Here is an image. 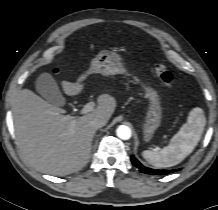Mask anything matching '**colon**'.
I'll return each instance as SVG.
<instances>
[{
	"instance_id": "1",
	"label": "colon",
	"mask_w": 218,
	"mask_h": 210,
	"mask_svg": "<svg viewBox=\"0 0 218 210\" xmlns=\"http://www.w3.org/2000/svg\"><path fill=\"white\" fill-rule=\"evenodd\" d=\"M153 72L159 79L162 87L165 89H170L172 87L174 77L173 74L165 68V66L162 64H155L153 66Z\"/></svg>"
}]
</instances>
